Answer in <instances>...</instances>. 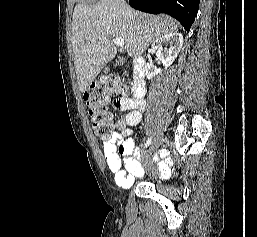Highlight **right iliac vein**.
I'll use <instances>...</instances> for the list:
<instances>
[{"label":"right iliac vein","mask_w":257,"mask_h":237,"mask_svg":"<svg viewBox=\"0 0 257 237\" xmlns=\"http://www.w3.org/2000/svg\"><path fill=\"white\" fill-rule=\"evenodd\" d=\"M161 143H162V136H161V134H159L155 137L147 154L145 155V159H144L145 163L150 162L152 153L158 149V147L160 146Z\"/></svg>","instance_id":"right-iliac-vein-1"}]
</instances>
